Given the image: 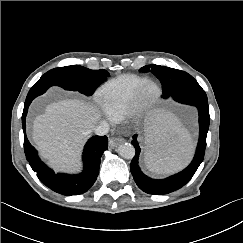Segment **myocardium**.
<instances>
[{"label": "myocardium", "instance_id": "obj_1", "mask_svg": "<svg viewBox=\"0 0 243 243\" xmlns=\"http://www.w3.org/2000/svg\"><path fill=\"white\" fill-rule=\"evenodd\" d=\"M150 87L155 89L152 96L147 94ZM161 97L162 89L160 85L153 80H147L131 99L125 112L126 117L134 123L143 121L147 114L157 106Z\"/></svg>", "mask_w": 243, "mask_h": 243}]
</instances>
